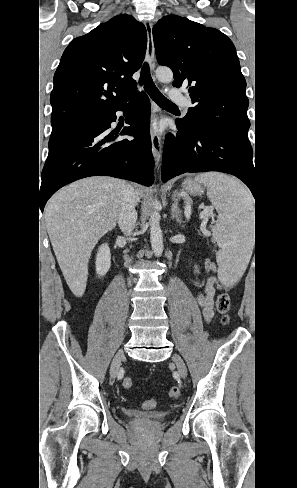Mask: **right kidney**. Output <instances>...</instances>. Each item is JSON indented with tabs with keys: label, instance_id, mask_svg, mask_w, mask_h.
<instances>
[{
	"label": "right kidney",
	"instance_id": "ca27d5eb",
	"mask_svg": "<svg viewBox=\"0 0 297 488\" xmlns=\"http://www.w3.org/2000/svg\"><path fill=\"white\" fill-rule=\"evenodd\" d=\"M95 264L97 275L105 276L111 266V253L108 244H102L99 247Z\"/></svg>",
	"mask_w": 297,
	"mask_h": 488
}]
</instances>
